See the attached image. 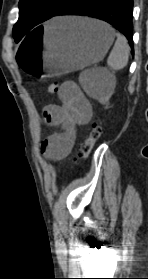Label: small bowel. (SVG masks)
Masks as SVG:
<instances>
[{
	"label": "small bowel",
	"instance_id": "1",
	"mask_svg": "<svg viewBox=\"0 0 148 279\" xmlns=\"http://www.w3.org/2000/svg\"><path fill=\"white\" fill-rule=\"evenodd\" d=\"M60 104L45 106L43 116L49 126L60 127L59 133L48 136L41 147L42 154L54 161H63L73 150L77 140V126L92 118V106L79 86L64 82L59 90Z\"/></svg>",
	"mask_w": 148,
	"mask_h": 279
}]
</instances>
